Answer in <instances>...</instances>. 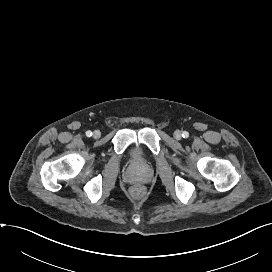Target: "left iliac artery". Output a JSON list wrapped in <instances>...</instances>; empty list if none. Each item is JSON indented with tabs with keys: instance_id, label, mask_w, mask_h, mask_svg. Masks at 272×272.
<instances>
[{
	"instance_id": "44dca946",
	"label": "left iliac artery",
	"mask_w": 272,
	"mask_h": 272,
	"mask_svg": "<svg viewBox=\"0 0 272 272\" xmlns=\"http://www.w3.org/2000/svg\"><path fill=\"white\" fill-rule=\"evenodd\" d=\"M182 136H183L184 138H188V137H189V133H188L187 131H184V132L182 133Z\"/></svg>"
}]
</instances>
